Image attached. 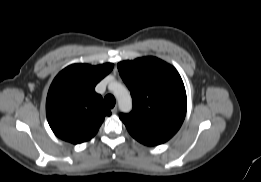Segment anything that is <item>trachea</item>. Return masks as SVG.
I'll return each mask as SVG.
<instances>
[{"label":"trachea","instance_id":"3493384b","mask_svg":"<svg viewBox=\"0 0 261 182\" xmlns=\"http://www.w3.org/2000/svg\"><path fill=\"white\" fill-rule=\"evenodd\" d=\"M116 100L113 95H106L104 97V104L107 108H113L115 106Z\"/></svg>","mask_w":261,"mask_h":182}]
</instances>
